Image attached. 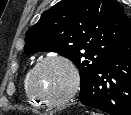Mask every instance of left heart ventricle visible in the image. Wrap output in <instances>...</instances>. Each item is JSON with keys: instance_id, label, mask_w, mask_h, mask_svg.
Here are the masks:
<instances>
[{"instance_id": "left-heart-ventricle-1", "label": "left heart ventricle", "mask_w": 131, "mask_h": 115, "mask_svg": "<svg viewBox=\"0 0 131 115\" xmlns=\"http://www.w3.org/2000/svg\"><path fill=\"white\" fill-rule=\"evenodd\" d=\"M71 84L69 69L60 62H49L41 66L34 76V88L47 98H59Z\"/></svg>"}]
</instances>
